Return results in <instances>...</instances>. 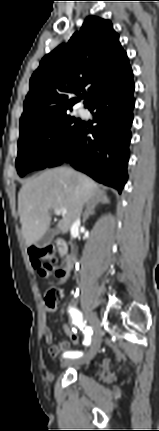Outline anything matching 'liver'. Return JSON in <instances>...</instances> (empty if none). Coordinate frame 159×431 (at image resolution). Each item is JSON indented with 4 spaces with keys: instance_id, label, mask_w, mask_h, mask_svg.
Here are the masks:
<instances>
[{
    "instance_id": "1",
    "label": "liver",
    "mask_w": 159,
    "mask_h": 431,
    "mask_svg": "<svg viewBox=\"0 0 159 431\" xmlns=\"http://www.w3.org/2000/svg\"><path fill=\"white\" fill-rule=\"evenodd\" d=\"M100 193L88 176L68 167L47 170L26 181L18 194V212L27 246L49 229L51 209H66L58 229L67 233L85 204Z\"/></svg>"
}]
</instances>
